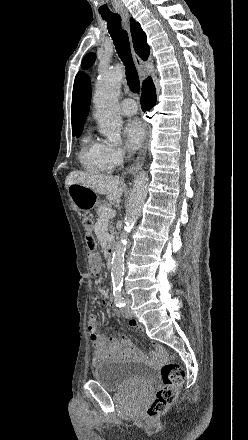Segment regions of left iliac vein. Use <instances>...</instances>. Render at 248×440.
<instances>
[{"mask_svg": "<svg viewBox=\"0 0 248 440\" xmlns=\"http://www.w3.org/2000/svg\"><path fill=\"white\" fill-rule=\"evenodd\" d=\"M122 315L126 318H129L132 316V311H131V299L127 298L126 299V305L125 307L122 309Z\"/></svg>", "mask_w": 248, "mask_h": 440, "instance_id": "1", "label": "left iliac vein"}]
</instances>
